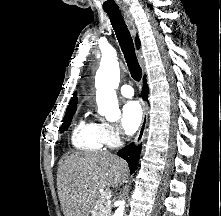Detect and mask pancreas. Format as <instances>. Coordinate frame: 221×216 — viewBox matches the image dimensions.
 Segmentation results:
<instances>
[{"label": "pancreas", "mask_w": 221, "mask_h": 216, "mask_svg": "<svg viewBox=\"0 0 221 216\" xmlns=\"http://www.w3.org/2000/svg\"><path fill=\"white\" fill-rule=\"evenodd\" d=\"M92 216H111V206L105 197H99L92 210Z\"/></svg>", "instance_id": "cf45deb5"}]
</instances>
